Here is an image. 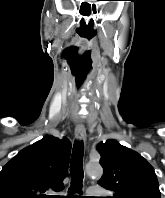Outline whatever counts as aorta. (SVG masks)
Wrapping results in <instances>:
<instances>
[{
  "instance_id": "aorta-1",
  "label": "aorta",
  "mask_w": 165,
  "mask_h": 198,
  "mask_svg": "<svg viewBox=\"0 0 165 198\" xmlns=\"http://www.w3.org/2000/svg\"><path fill=\"white\" fill-rule=\"evenodd\" d=\"M86 173L91 177L99 178L103 174V169L99 164H88L86 166Z\"/></svg>"
}]
</instances>
